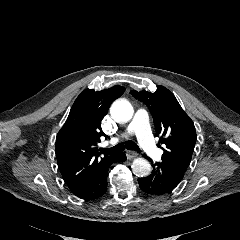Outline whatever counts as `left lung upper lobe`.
Segmentation results:
<instances>
[{
    "instance_id": "obj_1",
    "label": "left lung upper lobe",
    "mask_w": 240,
    "mask_h": 240,
    "mask_svg": "<svg viewBox=\"0 0 240 240\" xmlns=\"http://www.w3.org/2000/svg\"><path fill=\"white\" fill-rule=\"evenodd\" d=\"M131 95L146 104L152 114L156 136H160L166 146V149L162 148V163L184 176L197 138L193 121L163 86H157L154 93L132 90Z\"/></svg>"
}]
</instances>
